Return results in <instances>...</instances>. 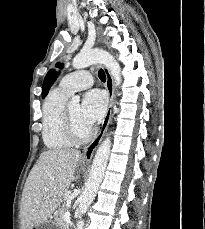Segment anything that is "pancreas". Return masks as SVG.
<instances>
[{
	"instance_id": "obj_1",
	"label": "pancreas",
	"mask_w": 205,
	"mask_h": 229,
	"mask_svg": "<svg viewBox=\"0 0 205 229\" xmlns=\"http://www.w3.org/2000/svg\"><path fill=\"white\" fill-rule=\"evenodd\" d=\"M69 208L63 205L55 215V222L59 226V229H69L70 224L63 219V214L68 212Z\"/></svg>"
}]
</instances>
